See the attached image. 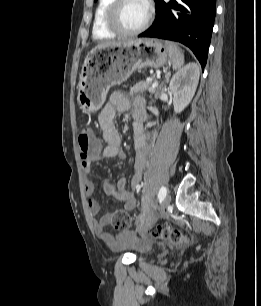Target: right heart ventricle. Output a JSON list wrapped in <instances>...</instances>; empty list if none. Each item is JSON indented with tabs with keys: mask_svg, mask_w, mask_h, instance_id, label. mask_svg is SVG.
<instances>
[{
	"mask_svg": "<svg viewBox=\"0 0 261 306\" xmlns=\"http://www.w3.org/2000/svg\"><path fill=\"white\" fill-rule=\"evenodd\" d=\"M112 1L113 0H98L92 23V37L95 40H107L116 36L105 23V14Z\"/></svg>",
	"mask_w": 261,
	"mask_h": 306,
	"instance_id": "1",
	"label": "right heart ventricle"
}]
</instances>
